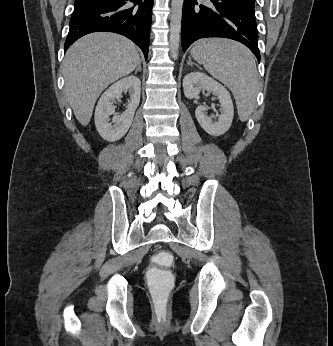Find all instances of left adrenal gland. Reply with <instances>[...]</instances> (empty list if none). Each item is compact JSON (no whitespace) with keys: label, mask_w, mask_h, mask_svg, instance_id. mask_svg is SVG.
Segmentation results:
<instances>
[{"label":"left adrenal gland","mask_w":333,"mask_h":346,"mask_svg":"<svg viewBox=\"0 0 333 346\" xmlns=\"http://www.w3.org/2000/svg\"><path fill=\"white\" fill-rule=\"evenodd\" d=\"M188 58H189V60L187 62L188 65H197L196 63L191 61V57L190 56Z\"/></svg>","instance_id":"left-adrenal-gland-1"}]
</instances>
